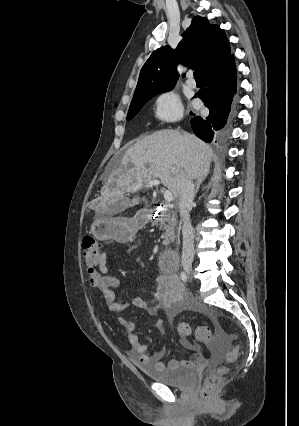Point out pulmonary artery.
Wrapping results in <instances>:
<instances>
[{
    "label": "pulmonary artery",
    "mask_w": 299,
    "mask_h": 426,
    "mask_svg": "<svg viewBox=\"0 0 299 426\" xmlns=\"http://www.w3.org/2000/svg\"><path fill=\"white\" fill-rule=\"evenodd\" d=\"M187 85L191 88H195L196 87V82L193 79L192 75H189L187 81H186Z\"/></svg>",
    "instance_id": "e3ab8cb5"
}]
</instances>
